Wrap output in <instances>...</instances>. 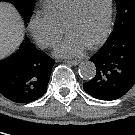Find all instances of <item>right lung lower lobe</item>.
Listing matches in <instances>:
<instances>
[{"label": "right lung lower lobe", "mask_w": 135, "mask_h": 135, "mask_svg": "<svg viewBox=\"0 0 135 135\" xmlns=\"http://www.w3.org/2000/svg\"><path fill=\"white\" fill-rule=\"evenodd\" d=\"M55 61L26 38L12 56L0 60V94L15 103H30L47 89Z\"/></svg>", "instance_id": "98d812e1"}]
</instances>
